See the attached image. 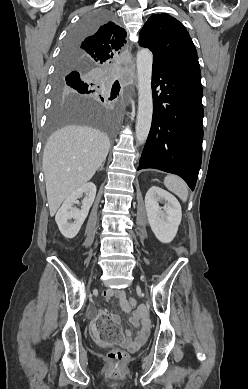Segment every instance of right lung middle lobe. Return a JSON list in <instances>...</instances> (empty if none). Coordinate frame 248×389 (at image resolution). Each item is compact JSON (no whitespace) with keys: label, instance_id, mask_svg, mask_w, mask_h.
Instances as JSON below:
<instances>
[{"label":"right lung middle lobe","instance_id":"1","mask_svg":"<svg viewBox=\"0 0 248 389\" xmlns=\"http://www.w3.org/2000/svg\"><path fill=\"white\" fill-rule=\"evenodd\" d=\"M112 14L108 10H97L86 14L80 23L70 32L63 50L76 41L94 33L100 25L109 22ZM63 59L58 63V76L54 85L53 104L49 116L47 135L54 130L71 124H89L102 129L109 137L114 135V121L111 115L94 103L75 93L91 94L97 91L92 76L93 68L70 63L63 67ZM78 71L80 75L70 78V73ZM66 77V78H65ZM66 79V83L64 81ZM118 94V89L112 86L110 100ZM105 97V93L100 96ZM103 97L101 100L103 101Z\"/></svg>","mask_w":248,"mask_h":389}]
</instances>
